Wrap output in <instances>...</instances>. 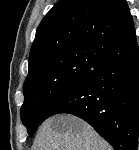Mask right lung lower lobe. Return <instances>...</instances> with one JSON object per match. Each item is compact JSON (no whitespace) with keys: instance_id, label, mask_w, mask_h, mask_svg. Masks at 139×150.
Listing matches in <instances>:
<instances>
[{"instance_id":"obj_1","label":"right lung lower lobe","mask_w":139,"mask_h":150,"mask_svg":"<svg viewBox=\"0 0 139 150\" xmlns=\"http://www.w3.org/2000/svg\"><path fill=\"white\" fill-rule=\"evenodd\" d=\"M59 113L85 120L115 150H137L139 44L134 26L110 46L85 76L58 96L43 121Z\"/></svg>"}]
</instances>
